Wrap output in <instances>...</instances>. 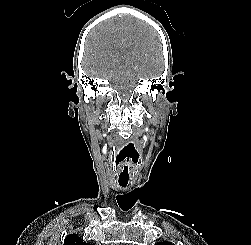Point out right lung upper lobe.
Returning a JSON list of instances; mask_svg holds the SVG:
<instances>
[{
    "label": "right lung upper lobe",
    "instance_id": "right-lung-upper-lobe-1",
    "mask_svg": "<svg viewBox=\"0 0 251 245\" xmlns=\"http://www.w3.org/2000/svg\"><path fill=\"white\" fill-rule=\"evenodd\" d=\"M64 245H90L84 242L76 234H70L66 237Z\"/></svg>",
    "mask_w": 251,
    "mask_h": 245
}]
</instances>
